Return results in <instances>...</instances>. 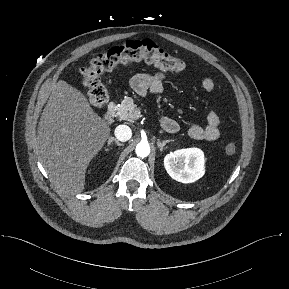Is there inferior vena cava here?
Listing matches in <instances>:
<instances>
[{"label":"inferior vena cava","instance_id":"obj_1","mask_svg":"<svg viewBox=\"0 0 289 289\" xmlns=\"http://www.w3.org/2000/svg\"><path fill=\"white\" fill-rule=\"evenodd\" d=\"M132 136V131L129 126L127 125H119L115 129V137L121 141L126 142L128 141Z\"/></svg>","mask_w":289,"mask_h":289}]
</instances>
